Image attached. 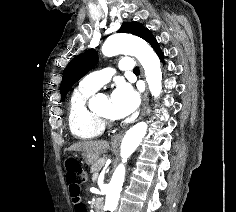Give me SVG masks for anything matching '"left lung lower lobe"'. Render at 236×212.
<instances>
[{
    "label": "left lung lower lobe",
    "mask_w": 236,
    "mask_h": 212,
    "mask_svg": "<svg viewBox=\"0 0 236 212\" xmlns=\"http://www.w3.org/2000/svg\"><path fill=\"white\" fill-rule=\"evenodd\" d=\"M145 41L149 42L150 45L154 48V50L158 54V56L160 57V59H163V53H162V51L159 47V44H158V42L156 41V39L153 37V35L151 33H149L147 35Z\"/></svg>",
    "instance_id": "1"
}]
</instances>
